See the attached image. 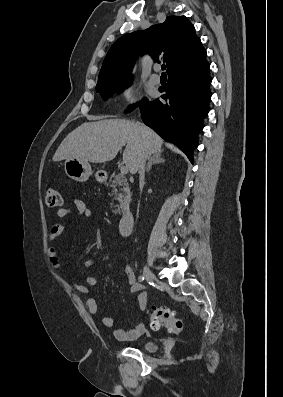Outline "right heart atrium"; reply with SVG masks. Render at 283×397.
Segmentation results:
<instances>
[{"instance_id":"1","label":"right heart atrium","mask_w":283,"mask_h":397,"mask_svg":"<svg viewBox=\"0 0 283 397\" xmlns=\"http://www.w3.org/2000/svg\"><path fill=\"white\" fill-rule=\"evenodd\" d=\"M118 99L122 106L132 107L137 103V88L132 84L122 86L118 91Z\"/></svg>"}]
</instances>
